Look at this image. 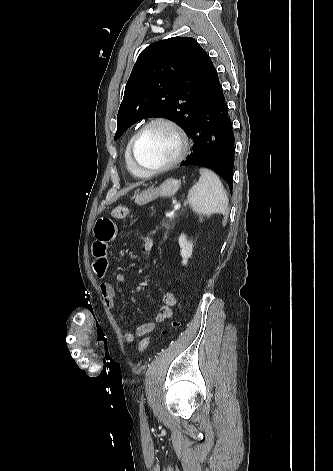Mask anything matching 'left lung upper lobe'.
<instances>
[{
	"label": "left lung upper lobe",
	"instance_id": "1",
	"mask_svg": "<svg viewBox=\"0 0 333 471\" xmlns=\"http://www.w3.org/2000/svg\"><path fill=\"white\" fill-rule=\"evenodd\" d=\"M216 69L191 37H172L139 55L117 115L118 139L131 125L151 116L179 123L188 133Z\"/></svg>",
	"mask_w": 333,
	"mask_h": 471
}]
</instances>
